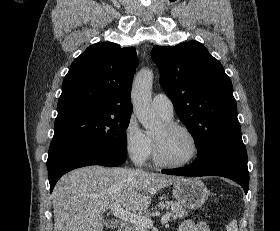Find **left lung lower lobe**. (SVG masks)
I'll list each match as a JSON object with an SVG mask.
<instances>
[{
  "mask_svg": "<svg viewBox=\"0 0 280 231\" xmlns=\"http://www.w3.org/2000/svg\"><path fill=\"white\" fill-rule=\"evenodd\" d=\"M164 174L198 176H222L240 184L245 191L249 188L247 152L241 135L218 140L205 146L190 165L183 168L162 170Z\"/></svg>",
  "mask_w": 280,
  "mask_h": 231,
  "instance_id": "left-lung-lower-lobe-1",
  "label": "left lung lower lobe"
}]
</instances>
